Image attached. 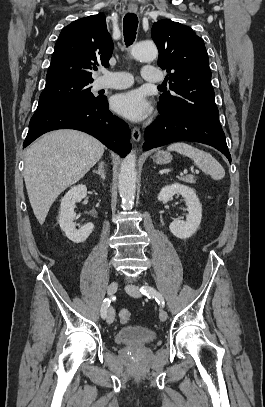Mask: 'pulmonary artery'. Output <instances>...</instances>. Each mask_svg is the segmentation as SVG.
Listing matches in <instances>:
<instances>
[{"mask_svg":"<svg viewBox=\"0 0 265 407\" xmlns=\"http://www.w3.org/2000/svg\"><path fill=\"white\" fill-rule=\"evenodd\" d=\"M103 76L96 81L97 89H124L133 84L132 76L124 71L109 72L102 71ZM110 77V78H107ZM142 78L145 81L159 84L163 81V75L156 67L151 65L144 66Z\"/></svg>","mask_w":265,"mask_h":407,"instance_id":"obj_1","label":"pulmonary artery"}]
</instances>
